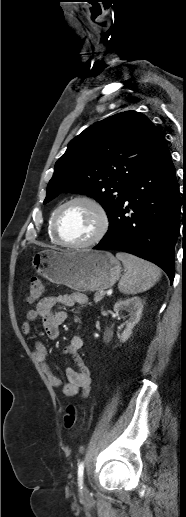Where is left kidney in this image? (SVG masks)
<instances>
[{
    "instance_id": "1",
    "label": "left kidney",
    "mask_w": 186,
    "mask_h": 517,
    "mask_svg": "<svg viewBox=\"0 0 186 517\" xmlns=\"http://www.w3.org/2000/svg\"><path fill=\"white\" fill-rule=\"evenodd\" d=\"M114 311L116 313L126 311L128 313V320L126 321V328L119 337L120 342H126L131 334L135 325L140 321L143 304L140 297H132L130 299L118 301L114 305Z\"/></svg>"
}]
</instances>
